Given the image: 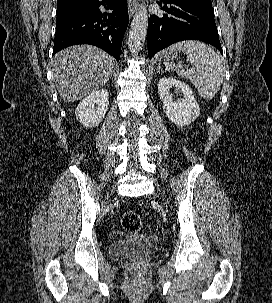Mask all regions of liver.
<instances>
[{"label": "liver", "instance_id": "1", "mask_svg": "<svg viewBox=\"0 0 272 303\" xmlns=\"http://www.w3.org/2000/svg\"><path fill=\"white\" fill-rule=\"evenodd\" d=\"M115 59L92 45H76L53 58V81L65 102H74L102 88L113 75Z\"/></svg>", "mask_w": 272, "mask_h": 303}]
</instances>
